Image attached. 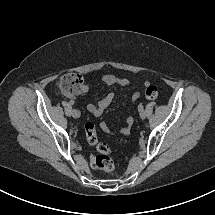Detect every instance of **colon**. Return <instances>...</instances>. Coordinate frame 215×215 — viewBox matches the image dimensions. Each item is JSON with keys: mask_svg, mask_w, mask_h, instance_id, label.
Returning a JSON list of instances; mask_svg holds the SVG:
<instances>
[{"mask_svg": "<svg viewBox=\"0 0 215 215\" xmlns=\"http://www.w3.org/2000/svg\"><path fill=\"white\" fill-rule=\"evenodd\" d=\"M58 86L63 93L69 95H75L83 92V77L76 72H68L61 76L58 82ZM159 94L158 87L156 85L148 84L145 87V97L147 99H155ZM86 138L88 143L93 146L98 153H92L90 158V165L94 169L101 170L106 173H110L114 170L115 165L110 157V147L98 140L95 132V124L89 122L85 127Z\"/></svg>", "mask_w": 215, "mask_h": 215, "instance_id": "5ec220e1", "label": "colon"}]
</instances>
